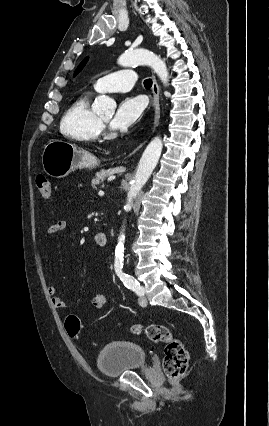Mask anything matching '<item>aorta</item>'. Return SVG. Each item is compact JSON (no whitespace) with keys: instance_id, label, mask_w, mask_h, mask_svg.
<instances>
[{"instance_id":"762f6f07","label":"aorta","mask_w":269,"mask_h":426,"mask_svg":"<svg viewBox=\"0 0 269 426\" xmlns=\"http://www.w3.org/2000/svg\"><path fill=\"white\" fill-rule=\"evenodd\" d=\"M118 64L123 67H130L132 65L150 66L164 85L168 83L169 73L165 62L158 55L147 49H136L124 53L119 57ZM115 108V101L105 95L98 96L92 105L93 111L98 115H112ZM162 148V139L157 136L151 140L144 150L127 195V203L125 206L127 211L132 208L133 199L136 198L155 169ZM124 242L125 234L121 232L115 249V264L122 263L123 261Z\"/></svg>"}]
</instances>
